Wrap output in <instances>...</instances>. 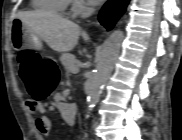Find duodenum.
Masks as SVG:
<instances>
[{
    "instance_id": "obj_1",
    "label": "duodenum",
    "mask_w": 182,
    "mask_h": 140,
    "mask_svg": "<svg viewBox=\"0 0 182 140\" xmlns=\"http://www.w3.org/2000/svg\"><path fill=\"white\" fill-rule=\"evenodd\" d=\"M59 109L68 121H75L77 115V106L75 104H62Z\"/></svg>"
}]
</instances>
